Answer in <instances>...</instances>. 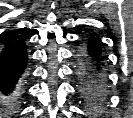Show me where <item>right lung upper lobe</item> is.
<instances>
[{
  "instance_id": "obj_1",
  "label": "right lung upper lobe",
  "mask_w": 133,
  "mask_h": 118,
  "mask_svg": "<svg viewBox=\"0 0 133 118\" xmlns=\"http://www.w3.org/2000/svg\"><path fill=\"white\" fill-rule=\"evenodd\" d=\"M3 41H4V46H7L11 43H13L14 41L18 40V37L15 33H4L3 34Z\"/></svg>"
}]
</instances>
